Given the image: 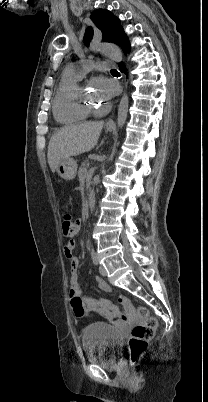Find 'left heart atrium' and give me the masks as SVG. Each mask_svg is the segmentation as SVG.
Masks as SVG:
<instances>
[{
	"label": "left heart atrium",
	"mask_w": 208,
	"mask_h": 402,
	"mask_svg": "<svg viewBox=\"0 0 208 402\" xmlns=\"http://www.w3.org/2000/svg\"><path fill=\"white\" fill-rule=\"evenodd\" d=\"M97 84H98V87L102 94V96H101L102 100H106L113 95V93L115 91V86L112 81H110L106 78H98Z\"/></svg>",
	"instance_id": "obj_1"
}]
</instances>
